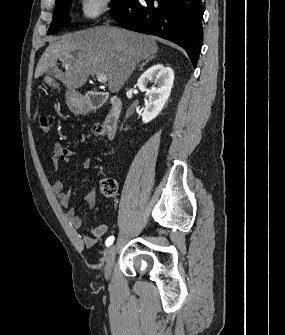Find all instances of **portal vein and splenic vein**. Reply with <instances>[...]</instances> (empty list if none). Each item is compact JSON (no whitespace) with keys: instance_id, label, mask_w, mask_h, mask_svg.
I'll list each match as a JSON object with an SVG mask.
<instances>
[{"instance_id":"1","label":"portal vein and splenic vein","mask_w":285,"mask_h":335,"mask_svg":"<svg viewBox=\"0 0 285 335\" xmlns=\"http://www.w3.org/2000/svg\"><path fill=\"white\" fill-rule=\"evenodd\" d=\"M97 80L100 82V84H106L108 76H105V74H98Z\"/></svg>"}]
</instances>
